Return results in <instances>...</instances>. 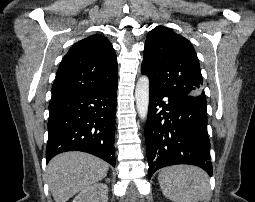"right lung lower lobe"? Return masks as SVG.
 <instances>
[{
  "mask_svg": "<svg viewBox=\"0 0 255 202\" xmlns=\"http://www.w3.org/2000/svg\"><path fill=\"white\" fill-rule=\"evenodd\" d=\"M117 81L94 90L52 98L49 103L47 162L65 151H83L115 166Z\"/></svg>",
  "mask_w": 255,
  "mask_h": 202,
  "instance_id": "98d812e1",
  "label": "right lung lower lobe"
}]
</instances>
